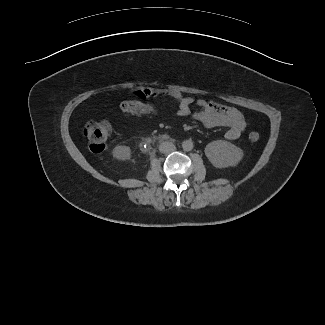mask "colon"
<instances>
[{"instance_id":"5ec220e1","label":"colon","mask_w":325,"mask_h":325,"mask_svg":"<svg viewBox=\"0 0 325 325\" xmlns=\"http://www.w3.org/2000/svg\"><path fill=\"white\" fill-rule=\"evenodd\" d=\"M122 113L126 115H156L160 113L161 107L153 102H141L136 100L126 101L120 106ZM83 134L88 141L89 148L94 153L102 152L111 134L109 122L90 121L83 128ZM260 138L259 133L251 132L249 140L257 142Z\"/></svg>"}]
</instances>
